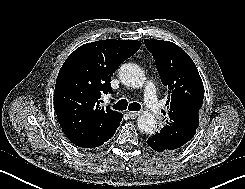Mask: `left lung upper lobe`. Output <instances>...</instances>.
<instances>
[{
  "label": "left lung upper lobe",
  "mask_w": 245,
  "mask_h": 189,
  "mask_svg": "<svg viewBox=\"0 0 245 189\" xmlns=\"http://www.w3.org/2000/svg\"><path fill=\"white\" fill-rule=\"evenodd\" d=\"M152 53L161 81L169 89V119L159 133L176 148L186 144L199 126L204 86L193 60L176 44L144 40Z\"/></svg>",
  "instance_id": "1"
}]
</instances>
